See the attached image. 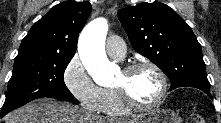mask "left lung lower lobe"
<instances>
[{"label": "left lung lower lobe", "instance_id": "1", "mask_svg": "<svg viewBox=\"0 0 221 123\" xmlns=\"http://www.w3.org/2000/svg\"><path fill=\"white\" fill-rule=\"evenodd\" d=\"M200 90L204 91L212 99V96L210 94V90H207V89H200Z\"/></svg>", "mask_w": 221, "mask_h": 123}]
</instances>
